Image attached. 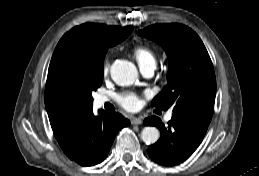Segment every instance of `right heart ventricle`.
Wrapping results in <instances>:
<instances>
[{
  "instance_id": "right-heart-ventricle-1",
  "label": "right heart ventricle",
  "mask_w": 259,
  "mask_h": 176,
  "mask_svg": "<svg viewBox=\"0 0 259 176\" xmlns=\"http://www.w3.org/2000/svg\"><path fill=\"white\" fill-rule=\"evenodd\" d=\"M133 56L138 62L140 67L155 65L156 66V53L147 45H138L133 49Z\"/></svg>"
}]
</instances>
